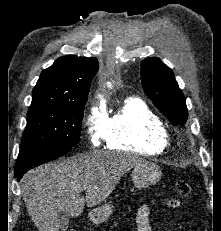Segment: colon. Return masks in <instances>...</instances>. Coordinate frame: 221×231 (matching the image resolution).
I'll list each match as a JSON object with an SVG mask.
<instances>
[{
	"label": "colon",
	"mask_w": 221,
	"mask_h": 231,
	"mask_svg": "<svg viewBox=\"0 0 221 231\" xmlns=\"http://www.w3.org/2000/svg\"><path fill=\"white\" fill-rule=\"evenodd\" d=\"M176 190L179 195L186 197L191 194L192 187L189 183L185 181H178L176 182Z\"/></svg>",
	"instance_id": "colon-1"
}]
</instances>
